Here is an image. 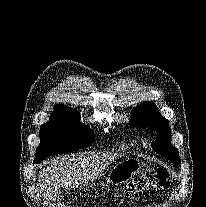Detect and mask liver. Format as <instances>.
I'll use <instances>...</instances> for the list:
<instances>
[{
    "label": "liver",
    "instance_id": "obj_1",
    "mask_svg": "<svg viewBox=\"0 0 206 207\" xmlns=\"http://www.w3.org/2000/svg\"><path fill=\"white\" fill-rule=\"evenodd\" d=\"M117 155H79L58 158L44 163L38 180L44 198L56 201L60 188L74 189L87 186Z\"/></svg>",
    "mask_w": 206,
    "mask_h": 207
}]
</instances>
